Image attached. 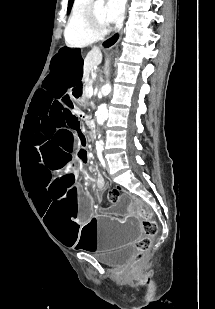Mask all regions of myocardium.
Returning <instances> with one entry per match:
<instances>
[{
    "mask_svg": "<svg viewBox=\"0 0 215 309\" xmlns=\"http://www.w3.org/2000/svg\"><path fill=\"white\" fill-rule=\"evenodd\" d=\"M92 9V8H91ZM82 16L86 17L87 24L89 28L87 30H91L90 37H96L97 35L107 34L109 32V26L113 24L111 19H95L94 12L88 8L83 9L81 11Z\"/></svg>",
    "mask_w": 215,
    "mask_h": 309,
    "instance_id": "obj_1",
    "label": "myocardium"
}]
</instances>
